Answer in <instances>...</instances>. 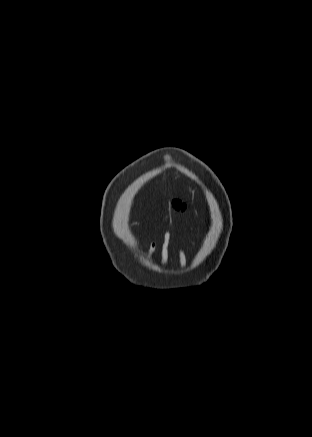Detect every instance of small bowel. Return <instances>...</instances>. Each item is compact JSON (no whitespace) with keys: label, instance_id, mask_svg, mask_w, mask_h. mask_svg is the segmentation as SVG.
Masks as SVG:
<instances>
[{"label":"small bowel","instance_id":"c3829d8e","mask_svg":"<svg viewBox=\"0 0 312 437\" xmlns=\"http://www.w3.org/2000/svg\"><path fill=\"white\" fill-rule=\"evenodd\" d=\"M155 248H156V242L153 241L150 245V253H153Z\"/></svg>","mask_w":312,"mask_h":437}]
</instances>
